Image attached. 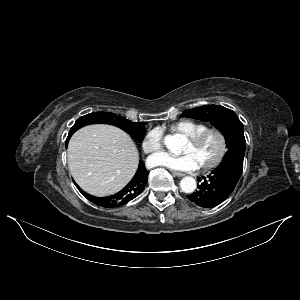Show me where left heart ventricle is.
<instances>
[{"mask_svg":"<svg viewBox=\"0 0 300 300\" xmlns=\"http://www.w3.org/2000/svg\"><path fill=\"white\" fill-rule=\"evenodd\" d=\"M220 150V138L217 133L211 132L197 144L185 142L181 153H189L196 160L198 166L213 160Z\"/></svg>","mask_w":300,"mask_h":300,"instance_id":"1","label":"left heart ventricle"}]
</instances>
